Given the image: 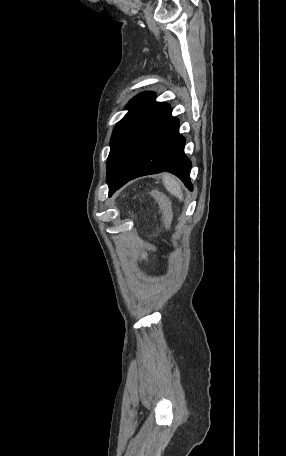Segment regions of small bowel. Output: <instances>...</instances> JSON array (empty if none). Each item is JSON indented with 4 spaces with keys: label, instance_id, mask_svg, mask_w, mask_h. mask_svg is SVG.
<instances>
[{
    "label": "small bowel",
    "instance_id": "c3829d8e",
    "mask_svg": "<svg viewBox=\"0 0 286 456\" xmlns=\"http://www.w3.org/2000/svg\"><path fill=\"white\" fill-rule=\"evenodd\" d=\"M136 255L142 259L146 258V252L142 249H136L135 251Z\"/></svg>",
    "mask_w": 286,
    "mask_h": 456
}]
</instances>
